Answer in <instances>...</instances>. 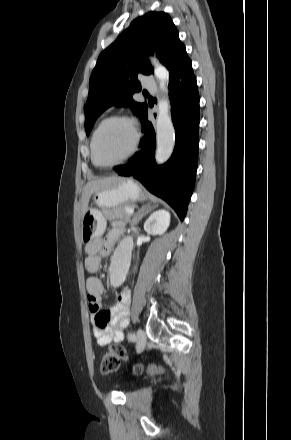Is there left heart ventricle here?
Wrapping results in <instances>:
<instances>
[{
    "mask_svg": "<svg viewBox=\"0 0 291 440\" xmlns=\"http://www.w3.org/2000/svg\"><path fill=\"white\" fill-rule=\"evenodd\" d=\"M133 142L129 126L122 121L104 125L96 138L95 155L100 163L116 162L124 158Z\"/></svg>",
    "mask_w": 291,
    "mask_h": 440,
    "instance_id": "1",
    "label": "left heart ventricle"
}]
</instances>
